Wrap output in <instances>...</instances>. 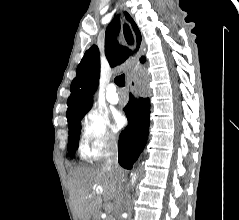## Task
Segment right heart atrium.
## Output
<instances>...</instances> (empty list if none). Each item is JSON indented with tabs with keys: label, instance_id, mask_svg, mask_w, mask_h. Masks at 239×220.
Segmentation results:
<instances>
[{
	"label": "right heart atrium",
	"instance_id": "1",
	"mask_svg": "<svg viewBox=\"0 0 239 220\" xmlns=\"http://www.w3.org/2000/svg\"><path fill=\"white\" fill-rule=\"evenodd\" d=\"M80 142L85 157L98 159L112 150L117 140L108 116L98 108H90L81 120Z\"/></svg>",
	"mask_w": 239,
	"mask_h": 220
}]
</instances>
